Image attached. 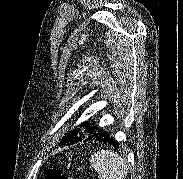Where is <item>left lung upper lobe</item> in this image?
I'll return each mask as SVG.
<instances>
[{
    "mask_svg": "<svg viewBox=\"0 0 183 179\" xmlns=\"http://www.w3.org/2000/svg\"><path fill=\"white\" fill-rule=\"evenodd\" d=\"M84 127L87 128L86 132L89 134L94 133L95 128L91 127L88 123H84L83 124ZM98 129V128H97ZM79 137H85L83 135V133L80 130L77 129H73L72 131H70L69 133H67V135L62 139V141L60 142L61 145H65L68 144L70 142H72L74 139L79 138Z\"/></svg>",
    "mask_w": 183,
    "mask_h": 179,
    "instance_id": "left-lung-upper-lobe-1",
    "label": "left lung upper lobe"
}]
</instances>
